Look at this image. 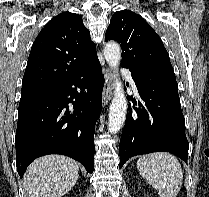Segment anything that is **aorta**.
<instances>
[{
  "mask_svg": "<svg viewBox=\"0 0 209 197\" xmlns=\"http://www.w3.org/2000/svg\"><path fill=\"white\" fill-rule=\"evenodd\" d=\"M104 57L110 67L114 69V98L110 105L108 130L118 132L124 125L127 113V100L121 81L117 77V68L121 60V48L116 42H108L104 47Z\"/></svg>",
  "mask_w": 209,
  "mask_h": 197,
  "instance_id": "1",
  "label": "aorta"
}]
</instances>
